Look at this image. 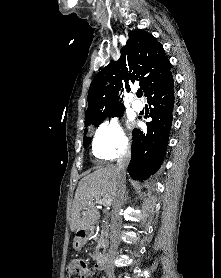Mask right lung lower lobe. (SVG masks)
Returning <instances> with one entry per match:
<instances>
[{
  "instance_id": "1",
  "label": "right lung lower lobe",
  "mask_w": 221,
  "mask_h": 278,
  "mask_svg": "<svg viewBox=\"0 0 221 278\" xmlns=\"http://www.w3.org/2000/svg\"><path fill=\"white\" fill-rule=\"evenodd\" d=\"M147 101L153 107L145 133L134 129L132 157L128 172L135 180H146L161 166L172 124L174 107L173 77L171 72L150 87L145 93Z\"/></svg>"
}]
</instances>
